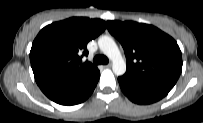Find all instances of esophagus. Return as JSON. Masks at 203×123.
Segmentation results:
<instances>
[{
	"label": "esophagus",
	"mask_w": 203,
	"mask_h": 123,
	"mask_svg": "<svg viewBox=\"0 0 203 123\" xmlns=\"http://www.w3.org/2000/svg\"><path fill=\"white\" fill-rule=\"evenodd\" d=\"M111 66H112L111 63L104 65L105 68H111Z\"/></svg>",
	"instance_id": "esophagus-1"
}]
</instances>
